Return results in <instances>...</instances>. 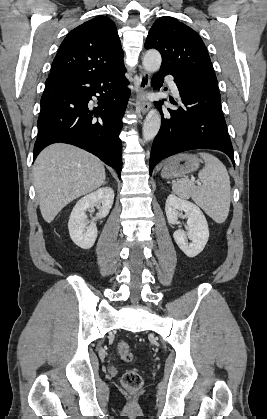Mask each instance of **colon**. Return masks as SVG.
Masks as SVG:
<instances>
[{
    "label": "colon",
    "instance_id": "5ec220e1",
    "mask_svg": "<svg viewBox=\"0 0 267 419\" xmlns=\"http://www.w3.org/2000/svg\"><path fill=\"white\" fill-rule=\"evenodd\" d=\"M117 351L125 362H131L133 354L127 342L121 341L117 344ZM122 384L128 390H138L143 384V379L138 371L130 369L122 376Z\"/></svg>",
    "mask_w": 267,
    "mask_h": 419
}]
</instances>
